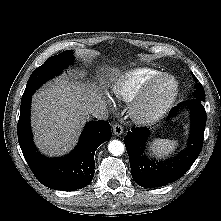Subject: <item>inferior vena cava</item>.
Returning <instances> with one entry per match:
<instances>
[{
  "instance_id": "1",
  "label": "inferior vena cava",
  "mask_w": 221,
  "mask_h": 221,
  "mask_svg": "<svg viewBox=\"0 0 221 221\" xmlns=\"http://www.w3.org/2000/svg\"><path fill=\"white\" fill-rule=\"evenodd\" d=\"M89 113L93 117H95L97 119H101V120H106L109 115L106 104H104V103L92 105L89 109Z\"/></svg>"
}]
</instances>
